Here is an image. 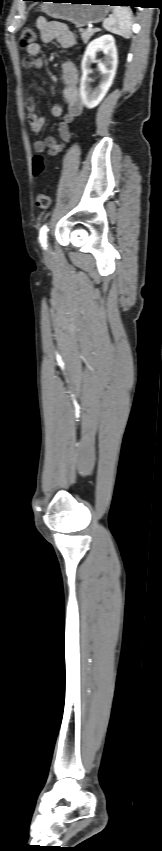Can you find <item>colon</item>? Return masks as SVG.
<instances>
[{
	"label": "colon",
	"instance_id": "1",
	"mask_svg": "<svg viewBox=\"0 0 162 851\" xmlns=\"http://www.w3.org/2000/svg\"><path fill=\"white\" fill-rule=\"evenodd\" d=\"M36 41H37L36 30L32 27L23 28L21 35H20V39H19L20 47L28 48L31 45L35 44ZM44 169H45V164H44L43 157L41 155H36L33 159V175L35 177L41 176L42 173L44 172ZM36 201H37L38 207H40L41 209H48L50 207V204H51L50 197L45 193H40L37 196Z\"/></svg>",
	"mask_w": 162,
	"mask_h": 851
}]
</instances>
